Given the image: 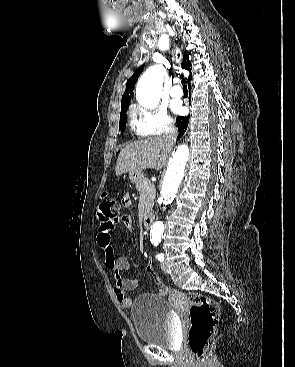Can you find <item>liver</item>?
Listing matches in <instances>:
<instances>
[{"instance_id": "obj_1", "label": "liver", "mask_w": 295, "mask_h": 367, "mask_svg": "<svg viewBox=\"0 0 295 367\" xmlns=\"http://www.w3.org/2000/svg\"><path fill=\"white\" fill-rule=\"evenodd\" d=\"M170 150L161 137L132 142L119 153L115 168L116 176L147 168L160 170Z\"/></svg>"}]
</instances>
